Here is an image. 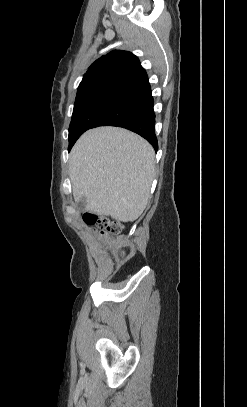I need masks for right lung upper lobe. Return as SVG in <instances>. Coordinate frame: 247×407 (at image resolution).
Listing matches in <instances>:
<instances>
[{"instance_id": "right-lung-upper-lobe-1", "label": "right lung upper lobe", "mask_w": 247, "mask_h": 407, "mask_svg": "<svg viewBox=\"0 0 247 407\" xmlns=\"http://www.w3.org/2000/svg\"><path fill=\"white\" fill-rule=\"evenodd\" d=\"M148 77L139 59L127 51H112L96 60L84 75L76 100L110 88L137 92L149 87Z\"/></svg>"}]
</instances>
